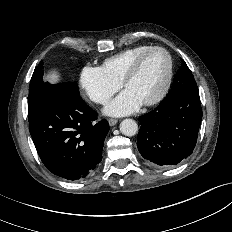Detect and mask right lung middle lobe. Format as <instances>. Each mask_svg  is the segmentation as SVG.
Listing matches in <instances>:
<instances>
[{
	"label": "right lung middle lobe",
	"mask_w": 232,
	"mask_h": 232,
	"mask_svg": "<svg viewBox=\"0 0 232 232\" xmlns=\"http://www.w3.org/2000/svg\"><path fill=\"white\" fill-rule=\"evenodd\" d=\"M43 62L41 61L39 65L35 68L32 75L30 85H29V95H28V112L31 114L36 108L39 98L44 92L48 90L49 83L43 81L44 74ZM70 85L78 92V87L76 82L70 83ZM79 93V92H78Z\"/></svg>",
	"instance_id": "right-lung-middle-lobe-1"
}]
</instances>
